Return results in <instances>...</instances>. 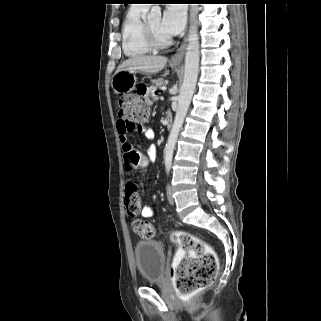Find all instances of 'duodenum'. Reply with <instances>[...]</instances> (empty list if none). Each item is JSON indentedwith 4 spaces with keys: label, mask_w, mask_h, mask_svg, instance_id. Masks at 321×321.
<instances>
[{
    "label": "duodenum",
    "mask_w": 321,
    "mask_h": 321,
    "mask_svg": "<svg viewBox=\"0 0 321 321\" xmlns=\"http://www.w3.org/2000/svg\"><path fill=\"white\" fill-rule=\"evenodd\" d=\"M165 125L168 129L172 127V116L168 114L165 118Z\"/></svg>",
    "instance_id": "duodenum-1"
}]
</instances>
